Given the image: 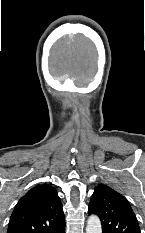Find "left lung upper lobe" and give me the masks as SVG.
I'll return each mask as SVG.
<instances>
[{
  "label": "left lung upper lobe",
  "instance_id": "5c2ea615",
  "mask_svg": "<svg viewBox=\"0 0 145 233\" xmlns=\"http://www.w3.org/2000/svg\"><path fill=\"white\" fill-rule=\"evenodd\" d=\"M88 214L99 216L103 233H141L128 200L107 185L95 188Z\"/></svg>",
  "mask_w": 145,
  "mask_h": 233
}]
</instances>
